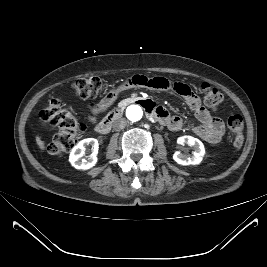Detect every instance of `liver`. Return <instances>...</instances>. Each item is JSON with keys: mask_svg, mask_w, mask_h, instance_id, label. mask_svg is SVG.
I'll list each match as a JSON object with an SVG mask.
<instances>
[{"mask_svg": "<svg viewBox=\"0 0 267 267\" xmlns=\"http://www.w3.org/2000/svg\"><path fill=\"white\" fill-rule=\"evenodd\" d=\"M36 143L41 150H45V143L41 140L39 136H36Z\"/></svg>", "mask_w": 267, "mask_h": 267, "instance_id": "liver-1", "label": "liver"}]
</instances>
